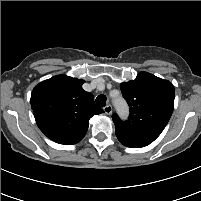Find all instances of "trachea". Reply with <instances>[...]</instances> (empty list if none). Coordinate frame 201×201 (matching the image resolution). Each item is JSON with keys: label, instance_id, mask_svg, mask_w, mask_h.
<instances>
[{"label": "trachea", "instance_id": "3493384b", "mask_svg": "<svg viewBox=\"0 0 201 201\" xmlns=\"http://www.w3.org/2000/svg\"><path fill=\"white\" fill-rule=\"evenodd\" d=\"M96 104L99 107H104L106 105V96L105 95H99L96 98Z\"/></svg>", "mask_w": 201, "mask_h": 201}]
</instances>
